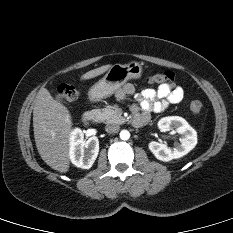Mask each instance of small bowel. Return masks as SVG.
<instances>
[{
	"instance_id": "small-bowel-1",
	"label": "small bowel",
	"mask_w": 233,
	"mask_h": 233,
	"mask_svg": "<svg viewBox=\"0 0 233 233\" xmlns=\"http://www.w3.org/2000/svg\"><path fill=\"white\" fill-rule=\"evenodd\" d=\"M133 94H135V87L132 84H126L116 93V96L123 99ZM135 97L138 105L133 107L134 124L138 125L140 122L142 124L148 122L152 113H162L170 106L181 102L184 97V90L180 86L171 87L162 84L156 89H144Z\"/></svg>"
}]
</instances>
